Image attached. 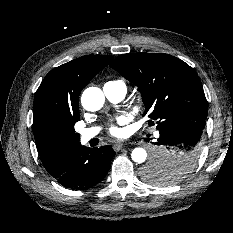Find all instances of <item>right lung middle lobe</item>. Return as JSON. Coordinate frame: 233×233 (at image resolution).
Instances as JSON below:
<instances>
[{
    "label": "right lung middle lobe",
    "mask_w": 233,
    "mask_h": 233,
    "mask_svg": "<svg viewBox=\"0 0 233 233\" xmlns=\"http://www.w3.org/2000/svg\"><path fill=\"white\" fill-rule=\"evenodd\" d=\"M80 136L74 127L54 133L49 138V152H56L79 144Z\"/></svg>",
    "instance_id": "obj_1"
}]
</instances>
